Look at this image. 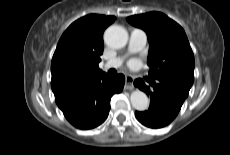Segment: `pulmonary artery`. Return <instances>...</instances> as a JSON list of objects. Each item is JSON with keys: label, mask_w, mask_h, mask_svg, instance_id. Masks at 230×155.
I'll return each instance as SVG.
<instances>
[{"label": "pulmonary artery", "mask_w": 230, "mask_h": 155, "mask_svg": "<svg viewBox=\"0 0 230 155\" xmlns=\"http://www.w3.org/2000/svg\"><path fill=\"white\" fill-rule=\"evenodd\" d=\"M147 35L141 29H133L130 33L128 51L130 53L138 52L146 45ZM123 62L122 57H115L102 64L103 70L118 68Z\"/></svg>", "instance_id": "obj_1"}]
</instances>
